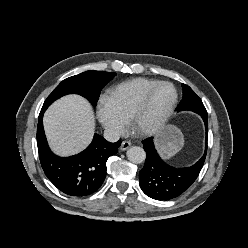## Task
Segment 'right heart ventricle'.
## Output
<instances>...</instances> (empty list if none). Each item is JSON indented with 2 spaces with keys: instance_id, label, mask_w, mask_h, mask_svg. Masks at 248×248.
<instances>
[{
  "instance_id": "obj_1",
  "label": "right heart ventricle",
  "mask_w": 248,
  "mask_h": 248,
  "mask_svg": "<svg viewBox=\"0 0 248 248\" xmlns=\"http://www.w3.org/2000/svg\"><path fill=\"white\" fill-rule=\"evenodd\" d=\"M159 81L149 78H133L121 82L109 90V96L119 113L128 122L145 93Z\"/></svg>"
}]
</instances>
